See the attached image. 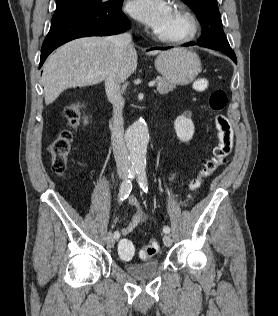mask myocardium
<instances>
[{
    "label": "myocardium",
    "mask_w": 278,
    "mask_h": 316,
    "mask_svg": "<svg viewBox=\"0 0 278 316\" xmlns=\"http://www.w3.org/2000/svg\"><path fill=\"white\" fill-rule=\"evenodd\" d=\"M185 22V29L179 34L169 35L158 31L154 32V37L167 44H184L192 41L197 35L199 24L198 20L192 11L182 3H175L171 8Z\"/></svg>",
    "instance_id": "1"
}]
</instances>
